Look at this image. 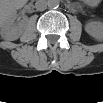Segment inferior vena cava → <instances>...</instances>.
Segmentation results:
<instances>
[{
	"label": "inferior vena cava",
	"mask_w": 103,
	"mask_h": 103,
	"mask_svg": "<svg viewBox=\"0 0 103 103\" xmlns=\"http://www.w3.org/2000/svg\"><path fill=\"white\" fill-rule=\"evenodd\" d=\"M48 6V3L46 0H37L35 3V7L38 11H44Z\"/></svg>",
	"instance_id": "602c4592"
}]
</instances>
